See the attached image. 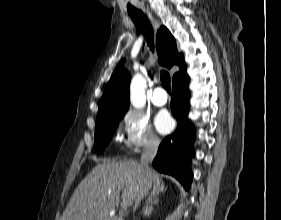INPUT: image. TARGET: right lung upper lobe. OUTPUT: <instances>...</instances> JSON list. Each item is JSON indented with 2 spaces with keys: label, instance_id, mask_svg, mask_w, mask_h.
I'll list each match as a JSON object with an SVG mask.
<instances>
[{
  "label": "right lung upper lobe",
  "instance_id": "right-lung-upper-lobe-1",
  "mask_svg": "<svg viewBox=\"0 0 281 220\" xmlns=\"http://www.w3.org/2000/svg\"><path fill=\"white\" fill-rule=\"evenodd\" d=\"M157 49L161 63L167 68L178 65L180 70L173 76L172 83L189 79L183 55L177 51L175 39L169 30L162 26L157 33ZM124 60L115 68L100 100L97 121L111 116L125 114L129 108L130 74L122 68ZM96 121V122H97Z\"/></svg>",
  "mask_w": 281,
  "mask_h": 220
}]
</instances>
